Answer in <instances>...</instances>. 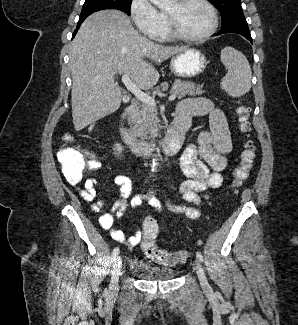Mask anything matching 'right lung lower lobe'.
<instances>
[{
    "label": "right lung lower lobe",
    "instance_id": "right-lung-lower-lobe-1",
    "mask_svg": "<svg viewBox=\"0 0 298 325\" xmlns=\"http://www.w3.org/2000/svg\"><path fill=\"white\" fill-rule=\"evenodd\" d=\"M83 21H84V20H83ZM83 21H82V20H79V21H78L77 28H76V30H75L73 36H75V34L77 33V31H78V29H79V27H80V25H81V23H82Z\"/></svg>",
    "mask_w": 298,
    "mask_h": 325
}]
</instances>
